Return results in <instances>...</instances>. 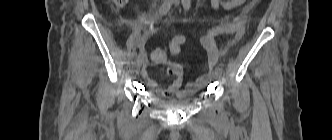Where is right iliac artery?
Here are the masks:
<instances>
[{"label":"right iliac artery","instance_id":"82829eb1","mask_svg":"<svg viewBox=\"0 0 332 140\" xmlns=\"http://www.w3.org/2000/svg\"><path fill=\"white\" fill-rule=\"evenodd\" d=\"M171 5H172V0H167V1H165V2L160 6V8H159V10H158V16L161 17V16L167 14V12H168V11L170 10V8H171ZM144 57H145V54H144V52L141 50L140 53H139V55H138V58H142V59H144Z\"/></svg>","mask_w":332,"mask_h":140}]
</instances>
